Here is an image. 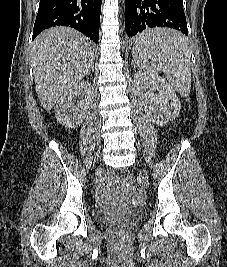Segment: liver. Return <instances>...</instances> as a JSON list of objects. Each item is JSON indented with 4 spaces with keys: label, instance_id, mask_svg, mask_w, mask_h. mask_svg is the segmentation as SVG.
<instances>
[{
    "label": "liver",
    "instance_id": "1",
    "mask_svg": "<svg viewBox=\"0 0 227 267\" xmlns=\"http://www.w3.org/2000/svg\"><path fill=\"white\" fill-rule=\"evenodd\" d=\"M31 55L36 92L47 111L89 73L94 62L93 43L69 27H53L39 34Z\"/></svg>",
    "mask_w": 227,
    "mask_h": 267
}]
</instances>
